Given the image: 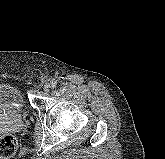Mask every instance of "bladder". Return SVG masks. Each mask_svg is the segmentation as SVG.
I'll use <instances>...</instances> for the list:
<instances>
[{
	"label": "bladder",
	"mask_w": 165,
	"mask_h": 159,
	"mask_svg": "<svg viewBox=\"0 0 165 159\" xmlns=\"http://www.w3.org/2000/svg\"><path fill=\"white\" fill-rule=\"evenodd\" d=\"M26 109L22 91L14 84L0 83V119L6 116H20ZM5 110V113H3Z\"/></svg>",
	"instance_id": "31cf9c89"
}]
</instances>
